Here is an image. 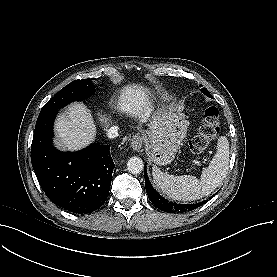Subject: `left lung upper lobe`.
Wrapping results in <instances>:
<instances>
[{
	"instance_id": "obj_1",
	"label": "left lung upper lobe",
	"mask_w": 277,
	"mask_h": 277,
	"mask_svg": "<svg viewBox=\"0 0 277 277\" xmlns=\"http://www.w3.org/2000/svg\"><path fill=\"white\" fill-rule=\"evenodd\" d=\"M201 91H202V93H204L206 96L212 98L210 92H209L206 88H202Z\"/></svg>"
}]
</instances>
